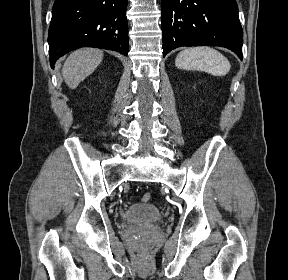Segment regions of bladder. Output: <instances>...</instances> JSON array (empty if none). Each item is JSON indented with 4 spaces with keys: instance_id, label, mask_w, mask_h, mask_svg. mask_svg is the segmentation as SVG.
I'll return each instance as SVG.
<instances>
[{
    "instance_id": "obj_1",
    "label": "bladder",
    "mask_w": 288,
    "mask_h": 280,
    "mask_svg": "<svg viewBox=\"0 0 288 280\" xmlns=\"http://www.w3.org/2000/svg\"><path fill=\"white\" fill-rule=\"evenodd\" d=\"M121 218L135 226L151 227L161 220L162 214L154 205L134 203L123 211Z\"/></svg>"
}]
</instances>
